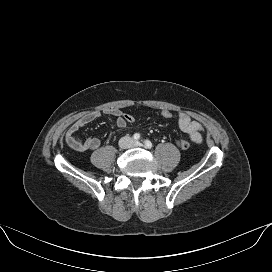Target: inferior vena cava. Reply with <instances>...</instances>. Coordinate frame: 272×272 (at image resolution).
<instances>
[{"mask_svg": "<svg viewBox=\"0 0 272 272\" xmlns=\"http://www.w3.org/2000/svg\"><path fill=\"white\" fill-rule=\"evenodd\" d=\"M133 139L129 136H124L119 140V146L123 149L132 147Z\"/></svg>", "mask_w": 272, "mask_h": 272, "instance_id": "1", "label": "inferior vena cava"}]
</instances>
